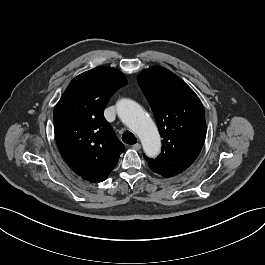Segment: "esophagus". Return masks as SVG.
Wrapping results in <instances>:
<instances>
[{
    "label": "esophagus",
    "mask_w": 265,
    "mask_h": 265,
    "mask_svg": "<svg viewBox=\"0 0 265 265\" xmlns=\"http://www.w3.org/2000/svg\"><path fill=\"white\" fill-rule=\"evenodd\" d=\"M132 148L134 149V150H140L141 149V144H139V143H136V144H134L133 146H132Z\"/></svg>",
    "instance_id": "34e87169"
}]
</instances>
